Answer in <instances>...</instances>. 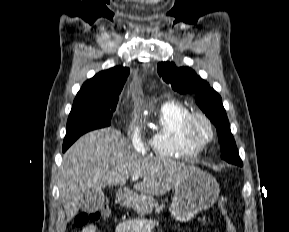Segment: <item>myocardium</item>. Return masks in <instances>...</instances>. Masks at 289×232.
<instances>
[{
  "label": "myocardium",
  "instance_id": "1",
  "mask_svg": "<svg viewBox=\"0 0 289 232\" xmlns=\"http://www.w3.org/2000/svg\"><path fill=\"white\" fill-rule=\"evenodd\" d=\"M202 121L209 129V137L204 141H199L195 138L193 129L196 122ZM215 128L212 121L201 112H190L182 123V136L184 140L191 146L201 150L213 142L215 138Z\"/></svg>",
  "mask_w": 289,
  "mask_h": 232
}]
</instances>
